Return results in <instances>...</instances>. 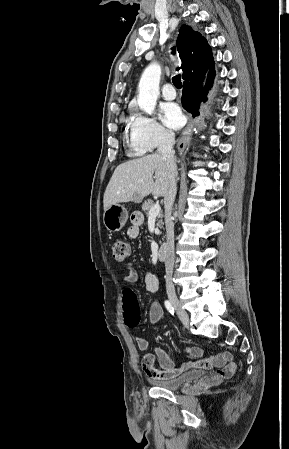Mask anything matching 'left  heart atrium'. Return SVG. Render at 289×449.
I'll list each match as a JSON object with an SVG mask.
<instances>
[{
	"instance_id": "39dd6f15",
	"label": "left heart atrium",
	"mask_w": 289,
	"mask_h": 449,
	"mask_svg": "<svg viewBox=\"0 0 289 449\" xmlns=\"http://www.w3.org/2000/svg\"><path fill=\"white\" fill-rule=\"evenodd\" d=\"M161 119L171 129H179L185 122L184 115L176 103H164L161 106Z\"/></svg>"
}]
</instances>
